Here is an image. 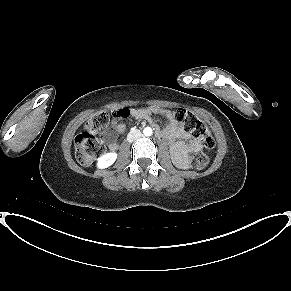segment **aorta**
Instances as JSON below:
<instances>
[{"instance_id":"obj_1","label":"aorta","mask_w":291,"mask_h":291,"mask_svg":"<svg viewBox=\"0 0 291 291\" xmlns=\"http://www.w3.org/2000/svg\"><path fill=\"white\" fill-rule=\"evenodd\" d=\"M143 133L145 136H151L153 131H152V128L151 127H145L144 130H143Z\"/></svg>"}]
</instances>
